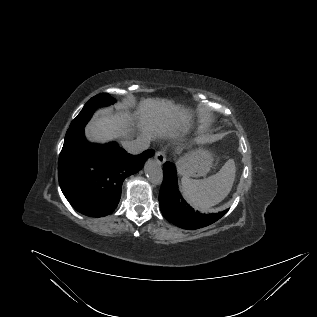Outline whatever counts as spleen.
Returning a JSON list of instances; mask_svg holds the SVG:
<instances>
[{
    "label": "spleen",
    "instance_id": "3e777b00",
    "mask_svg": "<svg viewBox=\"0 0 317 317\" xmlns=\"http://www.w3.org/2000/svg\"><path fill=\"white\" fill-rule=\"evenodd\" d=\"M236 167L229 159L216 174L201 180L183 176L182 191L186 200L196 209L207 211L220 203L231 191Z\"/></svg>",
    "mask_w": 317,
    "mask_h": 317
}]
</instances>
